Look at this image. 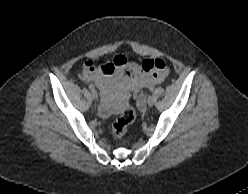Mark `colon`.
I'll return each mask as SVG.
<instances>
[{
    "label": "colon",
    "instance_id": "5ec220e1",
    "mask_svg": "<svg viewBox=\"0 0 248 194\" xmlns=\"http://www.w3.org/2000/svg\"><path fill=\"white\" fill-rule=\"evenodd\" d=\"M144 68L145 70L161 71L165 68V62L160 59L148 60L144 64ZM135 117L136 112L134 107L130 103H127L119 117H117L112 123L111 131L113 136L118 140L123 139L127 132L128 126L134 122Z\"/></svg>",
    "mask_w": 248,
    "mask_h": 194
}]
</instances>
